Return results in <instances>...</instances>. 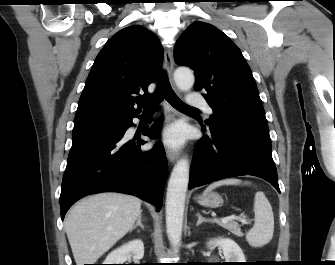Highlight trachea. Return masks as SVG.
<instances>
[{"mask_svg": "<svg viewBox=\"0 0 335 265\" xmlns=\"http://www.w3.org/2000/svg\"><path fill=\"white\" fill-rule=\"evenodd\" d=\"M165 99L177 110L184 111V110H196L193 107L188 106L187 104L183 103L176 93L171 88L167 76L165 73L162 74L161 79L159 81L158 87L153 94V96L149 99L147 104L143 107V112L149 113L154 112L158 103Z\"/></svg>", "mask_w": 335, "mask_h": 265, "instance_id": "1", "label": "trachea"}]
</instances>
